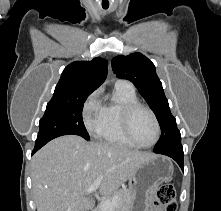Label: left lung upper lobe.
Segmentation results:
<instances>
[{
  "mask_svg": "<svg viewBox=\"0 0 221 211\" xmlns=\"http://www.w3.org/2000/svg\"><path fill=\"white\" fill-rule=\"evenodd\" d=\"M111 64L116 76L130 80L155 113L161 127V137L154 149L181 145L180 131L177 129L175 117L170 112L154 64L138 52L128 56H116Z\"/></svg>",
  "mask_w": 221,
  "mask_h": 211,
  "instance_id": "5c2ea615",
  "label": "left lung upper lobe"
}]
</instances>
